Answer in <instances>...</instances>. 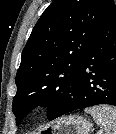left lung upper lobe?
Wrapping results in <instances>:
<instances>
[{"label":"left lung upper lobe","instance_id":"left-lung-upper-lobe-1","mask_svg":"<svg viewBox=\"0 0 116 134\" xmlns=\"http://www.w3.org/2000/svg\"><path fill=\"white\" fill-rule=\"evenodd\" d=\"M113 0H54L34 26L16 74L17 125L38 105L48 118L71 98L86 53L114 7Z\"/></svg>","mask_w":116,"mask_h":134}]
</instances>
